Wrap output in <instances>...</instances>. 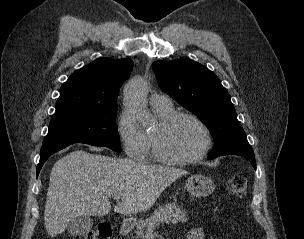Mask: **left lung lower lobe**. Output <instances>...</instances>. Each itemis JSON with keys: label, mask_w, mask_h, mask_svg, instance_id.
Returning a JSON list of instances; mask_svg holds the SVG:
<instances>
[{"label": "left lung lower lobe", "mask_w": 304, "mask_h": 239, "mask_svg": "<svg viewBox=\"0 0 304 239\" xmlns=\"http://www.w3.org/2000/svg\"><path fill=\"white\" fill-rule=\"evenodd\" d=\"M239 156H242L244 158H246L248 161L251 162V164L253 165V167L256 169V162H255V156H248V155H239ZM216 157H213V156H209V159H214Z\"/></svg>", "instance_id": "obj_1"}]
</instances>
